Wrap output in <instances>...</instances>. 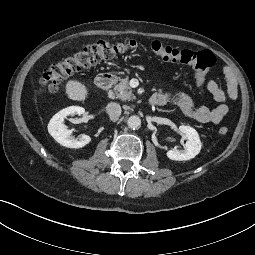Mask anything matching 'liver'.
<instances>
[{"label": "liver", "instance_id": "6515ba94", "mask_svg": "<svg viewBox=\"0 0 255 255\" xmlns=\"http://www.w3.org/2000/svg\"><path fill=\"white\" fill-rule=\"evenodd\" d=\"M42 90L39 91L41 94ZM65 92L69 99L75 101H84L88 95V89L77 80H70L66 83Z\"/></svg>", "mask_w": 255, "mask_h": 255}]
</instances>
